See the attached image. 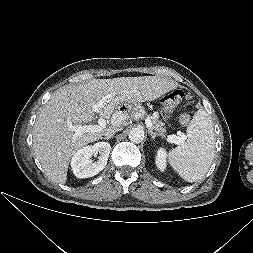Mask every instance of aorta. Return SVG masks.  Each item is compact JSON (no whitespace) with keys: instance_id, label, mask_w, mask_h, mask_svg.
<instances>
[{"instance_id":"obj_1","label":"aorta","mask_w":253,"mask_h":253,"mask_svg":"<svg viewBox=\"0 0 253 253\" xmlns=\"http://www.w3.org/2000/svg\"><path fill=\"white\" fill-rule=\"evenodd\" d=\"M129 139L133 143H141L144 140V131L139 128H133L129 133Z\"/></svg>"}]
</instances>
